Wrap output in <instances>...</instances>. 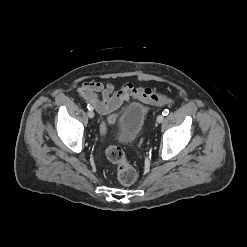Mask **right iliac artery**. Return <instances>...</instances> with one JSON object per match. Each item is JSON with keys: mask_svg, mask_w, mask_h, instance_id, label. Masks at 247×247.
Returning a JSON list of instances; mask_svg holds the SVG:
<instances>
[{"mask_svg": "<svg viewBox=\"0 0 247 247\" xmlns=\"http://www.w3.org/2000/svg\"><path fill=\"white\" fill-rule=\"evenodd\" d=\"M87 108H88L89 110H92V109H93V107H92L90 104H87Z\"/></svg>", "mask_w": 247, "mask_h": 247, "instance_id": "obj_1", "label": "right iliac artery"}]
</instances>
